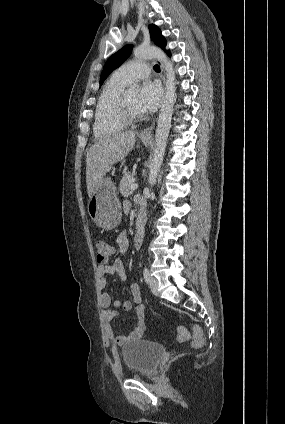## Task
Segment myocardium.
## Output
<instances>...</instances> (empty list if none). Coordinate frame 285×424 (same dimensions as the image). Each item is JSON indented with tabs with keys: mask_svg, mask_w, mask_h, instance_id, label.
<instances>
[{
	"mask_svg": "<svg viewBox=\"0 0 285 424\" xmlns=\"http://www.w3.org/2000/svg\"><path fill=\"white\" fill-rule=\"evenodd\" d=\"M116 117L126 125L135 123L142 119L141 115L133 114L126 103L124 94H121L115 108Z\"/></svg>",
	"mask_w": 285,
	"mask_h": 424,
	"instance_id": "obj_1",
	"label": "myocardium"
}]
</instances>
